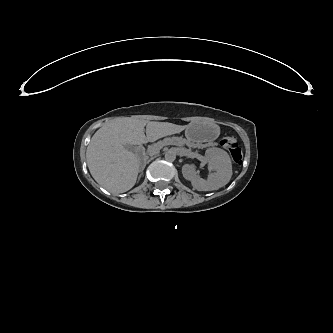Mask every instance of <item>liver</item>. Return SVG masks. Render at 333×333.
I'll return each mask as SVG.
<instances>
[{"instance_id":"1","label":"liver","mask_w":333,"mask_h":333,"mask_svg":"<svg viewBox=\"0 0 333 333\" xmlns=\"http://www.w3.org/2000/svg\"><path fill=\"white\" fill-rule=\"evenodd\" d=\"M158 137L147 134L118 137L108 133L95 135L86 151L87 165L93 178L112 192L131 189L137 179L139 157L124 145H141Z\"/></svg>"}]
</instances>
